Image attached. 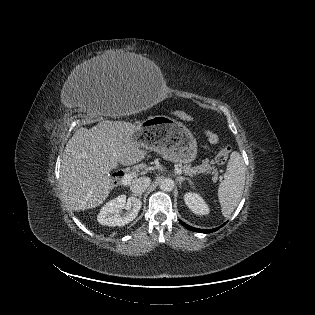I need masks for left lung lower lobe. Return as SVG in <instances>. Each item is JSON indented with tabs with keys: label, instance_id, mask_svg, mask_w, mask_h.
I'll use <instances>...</instances> for the list:
<instances>
[{
	"label": "left lung lower lobe",
	"instance_id": "0a47b994",
	"mask_svg": "<svg viewBox=\"0 0 315 315\" xmlns=\"http://www.w3.org/2000/svg\"><path fill=\"white\" fill-rule=\"evenodd\" d=\"M180 222H181V224H182L184 227H186L187 229H189V230H191V231H196V232L198 231V232H201V233H211V232H215L216 230H218L219 228H221L222 226L225 225V223H224V224L221 225L220 227H217V228H214V229H208V230H206V229H197V228H194V227H191V226L185 224V223L182 222V221H180Z\"/></svg>",
	"mask_w": 315,
	"mask_h": 315
}]
</instances>
